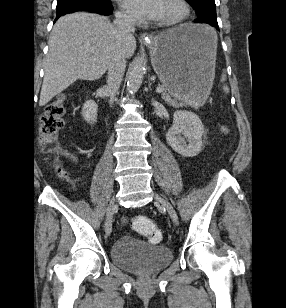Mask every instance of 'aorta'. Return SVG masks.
Returning <instances> with one entry per match:
<instances>
[{"instance_id":"762f6f07","label":"aorta","mask_w":286,"mask_h":308,"mask_svg":"<svg viewBox=\"0 0 286 308\" xmlns=\"http://www.w3.org/2000/svg\"><path fill=\"white\" fill-rule=\"evenodd\" d=\"M145 73L144 57H139L132 65L128 75L127 91L129 94H135L140 88Z\"/></svg>"}]
</instances>
